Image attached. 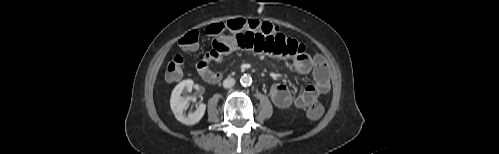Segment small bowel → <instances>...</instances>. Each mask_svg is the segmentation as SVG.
Here are the masks:
<instances>
[{"label": "small bowel", "instance_id": "small-bowel-1", "mask_svg": "<svg viewBox=\"0 0 499 154\" xmlns=\"http://www.w3.org/2000/svg\"><path fill=\"white\" fill-rule=\"evenodd\" d=\"M237 50H249L256 53L289 58L294 68L301 74L311 73L314 83L305 87L298 95L282 83H275L270 89V97L276 107L286 109L289 107L306 108L317 98L330 90V74L325 59L319 54H311L306 45L285 36L282 33L266 35L259 31H227L213 37L212 49L197 63V71L201 78L207 82H217L220 73L211 69L218 65L223 57Z\"/></svg>", "mask_w": 499, "mask_h": 154}]
</instances>
